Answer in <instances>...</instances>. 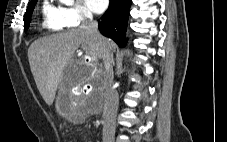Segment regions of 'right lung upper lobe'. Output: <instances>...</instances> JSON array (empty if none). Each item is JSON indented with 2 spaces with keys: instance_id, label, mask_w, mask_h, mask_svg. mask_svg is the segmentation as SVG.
Masks as SVG:
<instances>
[{
  "instance_id": "cb5924a9",
  "label": "right lung upper lobe",
  "mask_w": 227,
  "mask_h": 142,
  "mask_svg": "<svg viewBox=\"0 0 227 142\" xmlns=\"http://www.w3.org/2000/svg\"><path fill=\"white\" fill-rule=\"evenodd\" d=\"M34 1H36V0H31V3L34 2Z\"/></svg>"
}]
</instances>
